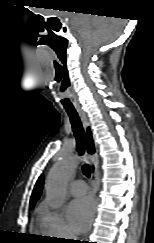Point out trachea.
I'll return each instance as SVG.
<instances>
[{"instance_id":"3493384b","label":"trachea","mask_w":154,"mask_h":243,"mask_svg":"<svg viewBox=\"0 0 154 243\" xmlns=\"http://www.w3.org/2000/svg\"><path fill=\"white\" fill-rule=\"evenodd\" d=\"M65 110L70 118L72 130L76 138L77 151L79 152L80 155H83L86 146V135L81 120L78 116L77 111L74 108H65ZM82 170L87 177H90L91 170L88 164H84L82 166Z\"/></svg>"}]
</instances>
